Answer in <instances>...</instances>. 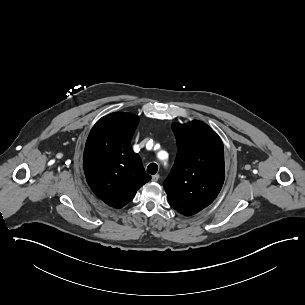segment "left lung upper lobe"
<instances>
[{"label":"left lung upper lobe","instance_id":"left-lung-upper-lobe-1","mask_svg":"<svg viewBox=\"0 0 305 305\" xmlns=\"http://www.w3.org/2000/svg\"><path fill=\"white\" fill-rule=\"evenodd\" d=\"M178 152L163 186L170 205L191 216L210 205L224 179V148L220 137L205 123H173Z\"/></svg>","mask_w":305,"mask_h":305}]
</instances>
